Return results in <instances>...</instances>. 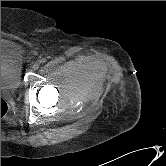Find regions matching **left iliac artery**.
I'll return each mask as SVG.
<instances>
[{"instance_id": "1", "label": "left iliac artery", "mask_w": 166, "mask_h": 166, "mask_svg": "<svg viewBox=\"0 0 166 166\" xmlns=\"http://www.w3.org/2000/svg\"><path fill=\"white\" fill-rule=\"evenodd\" d=\"M40 62H41V63H45V62H46V59L43 58V59L40 60Z\"/></svg>"}]
</instances>
